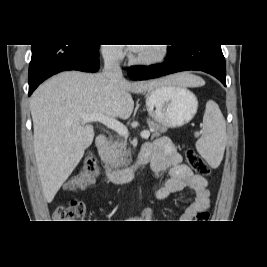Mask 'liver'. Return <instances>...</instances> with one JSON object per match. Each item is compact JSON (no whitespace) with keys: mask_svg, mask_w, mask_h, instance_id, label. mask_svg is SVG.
Instances as JSON below:
<instances>
[{"mask_svg":"<svg viewBox=\"0 0 267 267\" xmlns=\"http://www.w3.org/2000/svg\"><path fill=\"white\" fill-rule=\"evenodd\" d=\"M205 81L190 73L130 83L110 80L103 73H60L36 89L30 109L34 128V152L44 198L56 193L92 144L94 130L81 115L99 113L127 119L133 112L130 92L141 93L162 85L200 87Z\"/></svg>","mask_w":267,"mask_h":267,"instance_id":"liver-1","label":"liver"}]
</instances>
